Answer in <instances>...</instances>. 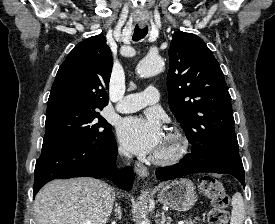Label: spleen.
Segmentation results:
<instances>
[{
	"instance_id": "obj_1",
	"label": "spleen",
	"mask_w": 275,
	"mask_h": 224,
	"mask_svg": "<svg viewBox=\"0 0 275 224\" xmlns=\"http://www.w3.org/2000/svg\"><path fill=\"white\" fill-rule=\"evenodd\" d=\"M232 214L230 224H243L245 217V207L243 197L240 193H235L232 197Z\"/></svg>"
}]
</instances>
